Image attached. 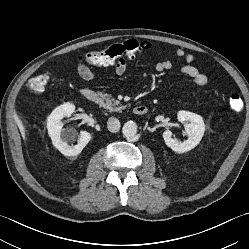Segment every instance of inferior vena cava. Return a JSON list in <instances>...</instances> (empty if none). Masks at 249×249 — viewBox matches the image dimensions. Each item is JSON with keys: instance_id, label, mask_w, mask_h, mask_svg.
Here are the masks:
<instances>
[{"instance_id": "obj_1", "label": "inferior vena cava", "mask_w": 249, "mask_h": 249, "mask_svg": "<svg viewBox=\"0 0 249 249\" xmlns=\"http://www.w3.org/2000/svg\"><path fill=\"white\" fill-rule=\"evenodd\" d=\"M107 128L110 132L116 133L120 129V122L117 118L110 117L107 121Z\"/></svg>"}]
</instances>
